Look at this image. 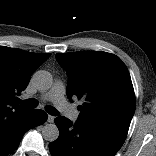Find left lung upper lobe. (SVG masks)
<instances>
[{"label":"left lung upper lobe","mask_w":156,"mask_h":156,"mask_svg":"<svg viewBox=\"0 0 156 156\" xmlns=\"http://www.w3.org/2000/svg\"><path fill=\"white\" fill-rule=\"evenodd\" d=\"M68 76L67 96L83 98L77 123L109 130L125 139L135 112V95L127 67L103 51L56 54Z\"/></svg>","instance_id":"left-lung-upper-lobe-1"}]
</instances>
